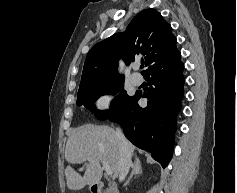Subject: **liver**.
I'll list each match as a JSON object with an SVG mask.
<instances>
[{"label":"liver","instance_id":"obj_1","mask_svg":"<svg viewBox=\"0 0 237 193\" xmlns=\"http://www.w3.org/2000/svg\"><path fill=\"white\" fill-rule=\"evenodd\" d=\"M131 155L135 147L128 142ZM120 148L116 131L105 125L85 124L71 134L67 140L65 159L68 164L88 161L83 176L70 165L65 169L67 186L79 190L86 185L98 183L103 174L101 162L105 161L113 171V178L119 175Z\"/></svg>","mask_w":237,"mask_h":193}]
</instances>
